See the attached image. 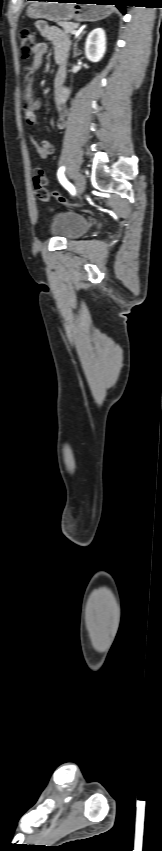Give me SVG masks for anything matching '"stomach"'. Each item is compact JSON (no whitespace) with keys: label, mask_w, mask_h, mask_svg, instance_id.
<instances>
[{"label":"stomach","mask_w":162,"mask_h":851,"mask_svg":"<svg viewBox=\"0 0 162 851\" xmlns=\"http://www.w3.org/2000/svg\"><path fill=\"white\" fill-rule=\"evenodd\" d=\"M76 2V3H69ZM84 0H66L60 3L32 2L26 9V15L33 19L44 18L50 21L78 22L98 21L110 14V7L99 4H89Z\"/></svg>","instance_id":"1"}]
</instances>
